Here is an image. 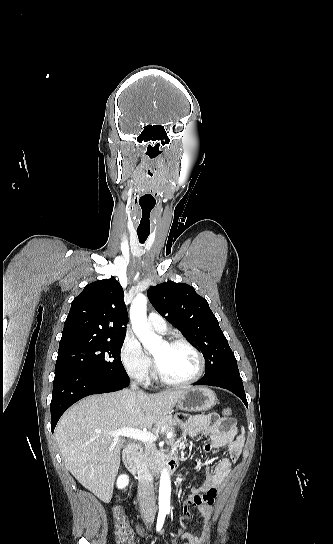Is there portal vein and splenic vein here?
Returning <instances> with one entry per match:
<instances>
[{
  "label": "portal vein and splenic vein",
  "mask_w": 333,
  "mask_h": 544,
  "mask_svg": "<svg viewBox=\"0 0 333 544\" xmlns=\"http://www.w3.org/2000/svg\"><path fill=\"white\" fill-rule=\"evenodd\" d=\"M164 428H162L163 430ZM108 435H111L112 437L118 438L120 436L128 437L131 439H137L141 441L146 442H154L158 436L153 434L152 432L146 431V430H140V429H133L128 427H123L120 429H117L115 431L109 432ZM172 432L167 433V438L172 437Z\"/></svg>",
  "instance_id": "18ae733b"
}]
</instances>
